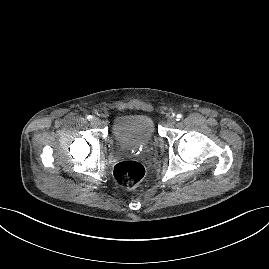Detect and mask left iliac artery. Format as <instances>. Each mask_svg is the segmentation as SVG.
<instances>
[{"label": "left iliac artery", "instance_id": "1", "mask_svg": "<svg viewBox=\"0 0 269 269\" xmlns=\"http://www.w3.org/2000/svg\"><path fill=\"white\" fill-rule=\"evenodd\" d=\"M181 119H182V115H181V114H178V115L176 116V120L179 121V120H181Z\"/></svg>", "mask_w": 269, "mask_h": 269}]
</instances>
